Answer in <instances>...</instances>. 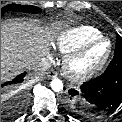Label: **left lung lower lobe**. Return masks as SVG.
<instances>
[{
  "label": "left lung lower lobe",
  "instance_id": "1",
  "mask_svg": "<svg viewBox=\"0 0 122 122\" xmlns=\"http://www.w3.org/2000/svg\"><path fill=\"white\" fill-rule=\"evenodd\" d=\"M81 94L92 105L88 109L90 114H102L116 109L122 102V57H114L103 74L85 82L81 86ZM69 95V106L73 107V99L79 93L71 89Z\"/></svg>",
  "mask_w": 122,
  "mask_h": 122
}]
</instances>
